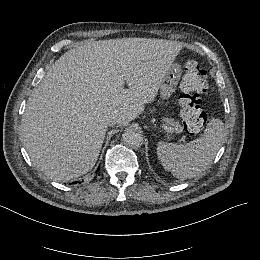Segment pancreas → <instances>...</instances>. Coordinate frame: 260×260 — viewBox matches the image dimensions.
<instances>
[{"label":"pancreas","instance_id":"obj_1","mask_svg":"<svg viewBox=\"0 0 260 260\" xmlns=\"http://www.w3.org/2000/svg\"><path fill=\"white\" fill-rule=\"evenodd\" d=\"M163 121L165 122L166 125L172 126L177 133L182 132V126L178 121H175L173 118H164Z\"/></svg>","mask_w":260,"mask_h":260}]
</instances>
